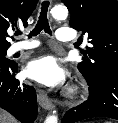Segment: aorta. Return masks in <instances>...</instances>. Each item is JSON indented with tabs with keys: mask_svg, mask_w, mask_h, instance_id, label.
I'll list each match as a JSON object with an SVG mask.
<instances>
[{
	"mask_svg": "<svg viewBox=\"0 0 118 123\" xmlns=\"http://www.w3.org/2000/svg\"><path fill=\"white\" fill-rule=\"evenodd\" d=\"M51 14L57 20H65L68 16V9L61 5L54 6L51 9ZM45 123H58V117L55 112L46 117Z\"/></svg>",
	"mask_w": 118,
	"mask_h": 123,
	"instance_id": "1",
	"label": "aorta"
}]
</instances>
